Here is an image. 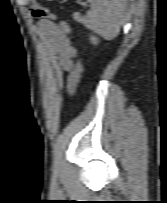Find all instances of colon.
<instances>
[{
    "instance_id": "5ec220e1",
    "label": "colon",
    "mask_w": 167,
    "mask_h": 203,
    "mask_svg": "<svg viewBox=\"0 0 167 203\" xmlns=\"http://www.w3.org/2000/svg\"><path fill=\"white\" fill-rule=\"evenodd\" d=\"M32 15L35 18H41L46 20H55L56 16L50 12L46 7L38 2H34L32 5ZM83 71V64L80 57L77 58L75 68L70 75L69 78V92L70 95L73 97L77 91L78 84L81 78V74Z\"/></svg>"
}]
</instances>
